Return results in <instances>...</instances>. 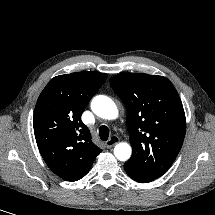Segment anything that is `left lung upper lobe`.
<instances>
[{
	"label": "left lung upper lobe",
	"mask_w": 215,
	"mask_h": 215,
	"mask_svg": "<svg viewBox=\"0 0 215 215\" xmlns=\"http://www.w3.org/2000/svg\"><path fill=\"white\" fill-rule=\"evenodd\" d=\"M127 109L133 153L124 166L149 178L161 177L176 159L186 130L180 97L165 77L124 73L110 79Z\"/></svg>",
	"instance_id": "1"
}]
</instances>
